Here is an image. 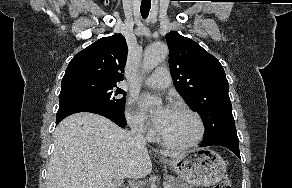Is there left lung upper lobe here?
I'll use <instances>...</instances> for the list:
<instances>
[{
    "label": "left lung upper lobe",
    "mask_w": 292,
    "mask_h": 188,
    "mask_svg": "<svg viewBox=\"0 0 292 188\" xmlns=\"http://www.w3.org/2000/svg\"><path fill=\"white\" fill-rule=\"evenodd\" d=\"M166 41L174 86L203 119L205 139L236 129L221 63L198 43L175 31L166 34Z\"/></svg>",
    "instance_id": "obj_1"
}]
</instances>
